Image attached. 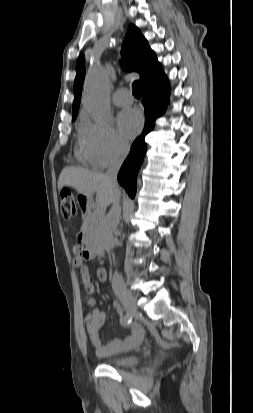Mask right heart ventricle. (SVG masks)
<instances>
[{"label": "right heart ventricle", "mask_w": 253, "mask_h": 413, "mask_svg": "<svg viewBox=\"0 0 253 413\" xmlns=\"http://www.w3.org/2000/svg\"><path fill=\"white\" fill-rule=\"evenodd\" d=\"M78 155H79V157L82 158L83 160L89 161V160H88V157H87V155H86V152H85V150H84V148H83V146H82V144H81L80 150H79V152H78Z\"/></svg>", "instance_id": "right-heart-ventricle-1"}]
</instances>
